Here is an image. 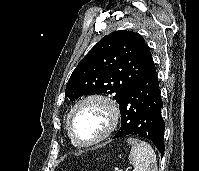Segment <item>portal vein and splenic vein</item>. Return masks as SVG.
<instances>
[{"label":"portal vein and splenic vein","instance_id":"18ae733b","mask_svg":"<svg viewBox=\"0 0 199 171\" xmlns=\"http://www.w3.org/2000/svg\"><path fill=\"white\" fill-rule=\"evenodd\" d=\"M129 169H131V167H127L126 169H125V171H128ZM122 171V170H121Z\"/></svg>","mask_w":199,"mask_h":171}]
</instances>
